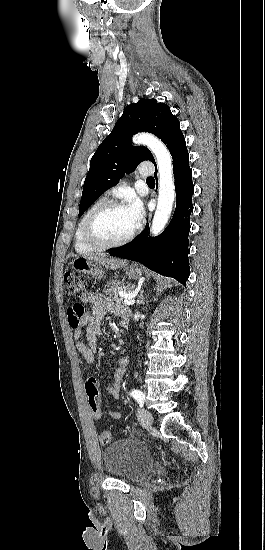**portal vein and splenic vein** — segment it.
Segmentation results:
<instances>
[{"instance_id":"portal-vein-and-splenic-vein-1","label":"portal vein and splenic vein","mask_w":265,"mask_h":550,"mask_svg":"<svg viewBox=\"0 0 265 550\" xmlns=\"http://www.w3.org/2000/svg\"><path fill=\"white\" fill-rule=\"evenodd\" d=\"M125 299L123 301L124 305L129 306L133 305L135 303V299L131 295H125L123 296Z\"/></svg>"}]
</instances>
